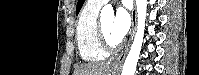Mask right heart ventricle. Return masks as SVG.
<instances>
[{
    "mask_svg": "<svg viewBox=\"0 0 199 75\" xmlns=\"http://www.w3.org/2000/svg\"><path fill=\"white\" fill-rule=\"evenodd\" d=\"M100 7L91 6L89 3L82 10L77 26L76 41L80 57L86 62H100L107 56L99 44L96 27Z\"/></svg>",
    "mask_w": 199,
    "mask_h": 75,
    "instance_id": "right-heart-ventricle-1",
    "label": "right heart ventricle"
}]
</instances>
